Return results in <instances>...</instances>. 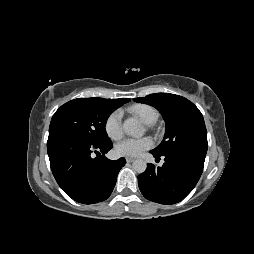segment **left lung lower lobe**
I'll use <instances>...</instances> for the list:
<instances>
[{"mask_svg":"<svg viewBox=\"0 0 254 254\" xmlns=\"http://www.w3.org/2000/svg\"><path fill=\"white\" fill-rule=\"evenodd\" d=\"M157 159L163 156L161 167L147 164L144 173L138 176V185L143 196L160 204H175L183 200L197 184L204 166L206 153L185 149L165 155L150 151Z\"/></svg>","mask_w":254,"mask_h":254,"instance_id":"left-lung-lower-lobe-1","label":"left lung lower lobe"}]
</instances>
